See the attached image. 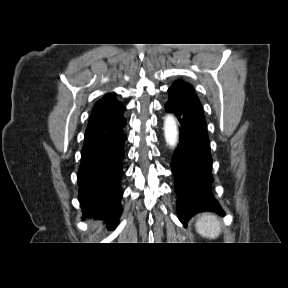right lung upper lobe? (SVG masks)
Wrapping results in <instances>:
<instances>
[{
    "instance_id": "obj_1",
    "label": "right lung upper lobe",
    "mask_w": 288,
    "mask_h": 288,
    "mask_svg": "<svg viewBox=\"0 0 288 288\" xmlns=\"http://www.w3.org/2000/svg\"><path fill=\"white\" fill-rule=\"evenodd\" d=\"M125 106L119 103L115 94H106L93 107L85 133L84 146H93L114 136L125 123Z\"/></svg>"
}]
</instances>
